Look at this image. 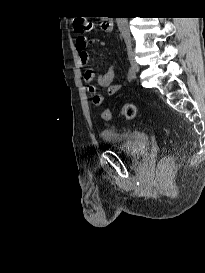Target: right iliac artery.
<instances>
[{
  "instance_id": "82829eb1",
  "label": "right iliac artery",
  "mask_w": 205,
  "mask_h": 273,
  "mask_svg": "<svg viewBox=\"0 0 205 273\" xmlns=\"http://www.w3.org/2000/svg\"><path fill=\"white\" fill-rule=\"evenodd\" d=\"M128 75L130 79H135V72L133 71L132 67L129 68Z\"/></svg>"
}]
</instances>
